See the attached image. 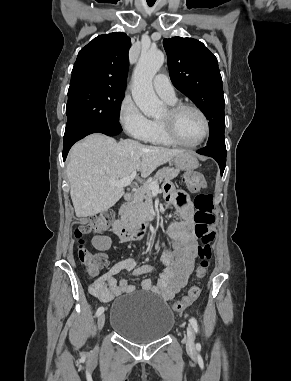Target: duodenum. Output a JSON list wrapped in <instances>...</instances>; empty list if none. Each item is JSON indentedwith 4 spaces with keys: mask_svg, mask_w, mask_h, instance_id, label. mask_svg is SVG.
<instances>
[{
    "mask_svg": "<svg viewBox=\"0 0 291 381\" xmlns=\"http://www.w3.org/2000/svg\"><path fill=\"white\" fill-rule=\"evenodd\" d=\"M134 193L132 191L126 192L124 199L126 202L132 201ZM152 218V213L149 212L145 219L138 225H129L125 222L122 216L115 218L113 222V231L116 235L120 237L123 242H131L140 240L149 226L150 220Z\"/></svg>",
    "mask_w": 291,
    "mask_h": 381,
    "instance_id": "1",
    "label": "duodenum"
}]
</instances>
